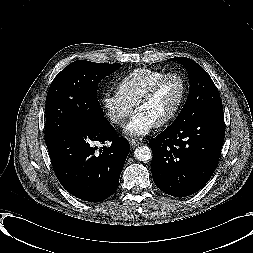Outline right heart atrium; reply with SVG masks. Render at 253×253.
Masks as SVG:
<instances>
[{"instance_id":"1","label":"right heart atrium","mask_w":253,"mask_h":253,"mask_svg":"<svg viewBox=\"0 0 253 253\" xmlns=\"http://www.w3.org/2000/svg\"><path fill=\"white\" fill-rule=\"evenodd\" d=\"M100 104L109 122L117 126H123L127 118L133 113V106L118 92L104 94Z\"/></svg>"}]
</instances>
